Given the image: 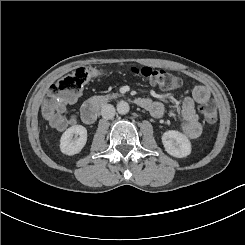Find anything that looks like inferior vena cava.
Instances as JSON below:
<instances>
[{
    "instance_id": "602c4592",
    "label": "inferior vena cava",
    "mask_w": 245,
    "mask_h": 245,
    "mask_svg": "<svg viewBox=\"0 0 245 245\" xmlns=\"http://www.w3.org/2000/svg\"><path fill=\"white\" fill-rule=\"evenodd\" d=\"M101 115L104 119H112L115 116V108L111 104H106L101 109Z\"/></svg>"
}]
</instances>
